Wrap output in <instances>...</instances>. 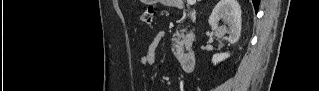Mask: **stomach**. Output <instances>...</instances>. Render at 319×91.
<instances>
[{
    "mask_svg": "<svg viewBox=\"0 0 319 91\" xmlns=\"http://www.w3.org/2000/svg\"><path fill=\"white\" fill-rule=\"evenodd\" d=\"M157 2H158V0H145V3H147V4H155ZM162 2L168 3V4H175L176 0H162Z\"/></svg>",
    "mask_w": 319,
    "mask_h": 91,
    "instance_id": "stomach-1",
    "label": "stomach"
}]
</instances>
